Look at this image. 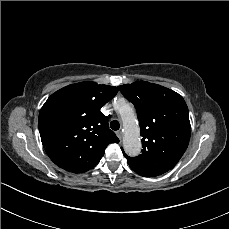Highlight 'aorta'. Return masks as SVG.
Masks as SVG:
<instances>
[{"mask_svg": "<svg viewBox=\"0 0 229 229\" xmlns=\"http://www.w3.org/2000/svg\"><path fill=\"white\" fill-rule=\"evenodd\" d=\"M124 127L123 147L130 156H137L141 151L140 129L136 122L134 110L128 105L120 108Z\"/></svg>", "mask_w": 229, "mask_h": 229, "instance_id": "aorta-1", "label": "aorta"}]
</instances>
